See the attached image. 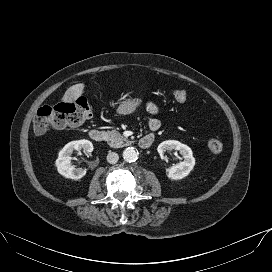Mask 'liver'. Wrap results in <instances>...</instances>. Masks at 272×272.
Listing matches in <instances>:
<instances>
[{"instance_id":"1","label":"liver","mask_w":272,"mask_h":272,"mask_svg":"<svg viewBox=\"0 0 272 272\" xmlns=\"http://www.w3.org/2000/svg\"><path fill=\"white\" fill-rule=\"evenodd\" d=\"M85 85L83 83L75 84L69 87L62 97V101L65 103L75 102L84 92Z\"/></svg>"}]
</instances>
